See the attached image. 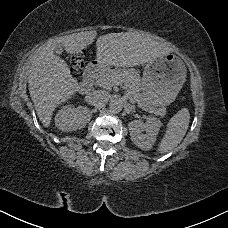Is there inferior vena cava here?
Returning a JSON list of instances; mask_svg holds the SVG:
<instances>
[{"mask_svg": "<svg viewBox=\"0 0 228 228\" xmlns=\"http://www.w3.org/2000/svg\"><path fill=\"white\" fill-rule=\"evenodd\" d=\"M110 98V95L107 91L98 90L92 93H89L85 100L89 105L93 106H103Z\"/></svg>", "mask_w": 228, "mask_h": 228, "instance_id": "602c4592", "label": "inferior vena cava"}]
</instances>
